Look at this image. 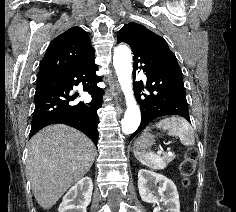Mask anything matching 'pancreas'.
<instances>
[{
	"label": "pancreas",
	"mask_w": 236,
	"mask_h": 212,
	"mask_svg": "<svg viewBox=\"0 0 236 212\" xmlns=\"http://www.w3.org/2000/svg\"><path fill=\"white\" fill-rule=\"evenodd\" d=\"M174 158H175V155L164 154V156H163V159H164L165 163L171 162Z\"/></svg>",
	"instance_id": "obj_1"
}]
</instances>
